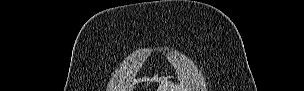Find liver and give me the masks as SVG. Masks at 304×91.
<instances>
[{
  "label": "liver",
  "mask_w": 304,
  "mask_h": 91,
  "mask_svg": "<svg viewBox=\"0 0 304 91\" xmlns=\"http://www.w3.org/2000/svg\"><path fill=\"white\" fill-rule=\"evenodd\" d=\"M158 91H187V90H183L186 88H183L182 85L181 87L179 86H174L173 83L169 84V82L166 80V78H163L161 81V84L158 88Z\"/></svg>",
  "instance_id": "1"
}]
</instances>
